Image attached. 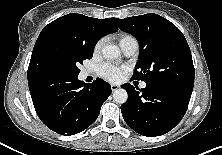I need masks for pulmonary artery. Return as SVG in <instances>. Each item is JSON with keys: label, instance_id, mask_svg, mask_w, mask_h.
<instances>
[{"label": "pulmonary artery", "instance_id": "pulmonary-artery-1", "mask_svg": "<svg viewBox=\"0 0 222 155\" xmlns=\"http://www.w3.org/2000/svg\"><path fill=\"white\" fill-rule=\"evenodd\" d=\"M121 48H122L125 55L131 56V55L135 54L136 51L138 50V43H137V41H129V42L125 43L124 45H122ZM86 74H87L86 72L83 73V75H86ZM141 87L145 88L146 83L143 82L141 84Z\"/></svg>", "mask_w": 222, "mask_h": 155}]
</instances>
